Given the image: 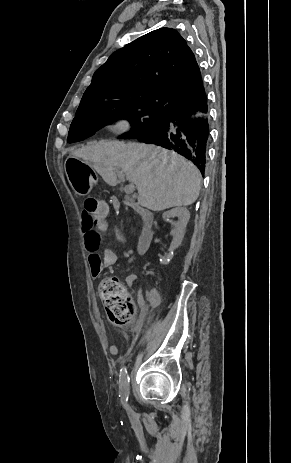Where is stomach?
Wrapping results in <instances>:
<instances>
[{
  "mask_svg": "<svg viewBox=\"0 0 291 463\" xmlns=\"http://www.w3.org/2000/svg\"><path fill=\"white\" fill-rule=\"evenodd\" d=\"M64 169L72 188L77 194L86 195L91 191L95 179L87 157H68Z\"/></svg>",
  "mask_w": 291,
  "mask_h": 463,
  "instance_id": "obj_1",
  "label": "stomach"
}]
</instances>
